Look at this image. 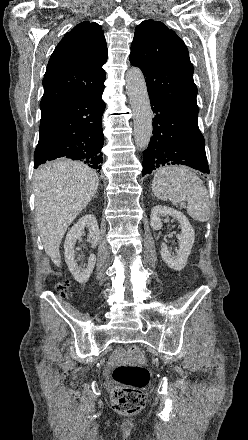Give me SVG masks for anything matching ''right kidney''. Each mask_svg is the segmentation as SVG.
I'll list each match as a JSON object with an SVG mask.
<instances>
[{
  "mask_svg": "<svg viewBox=\"0 0 248 440\" xmlns=\"http://www.w3.org/2000/svg\"><path fill=\"white\" fill-rule=\"evenodd\" d=\"M85 228H88V237L91 239L92 248H95L98 244L100 232L97 219L92 214L83 216L76 224L72 226L66 235L64 243V256L66 264L75 280L80 284H85L89 280L96 263V256L94 254L89 256L86 268L79 267L75 260L74 246L77 239L81 237Z\"/></svg>",
  "mask_w": 248,
  "mask_h": 440,
  "instance_id": "obj_1",
  "label": "right kidney"
}]
</instances>
